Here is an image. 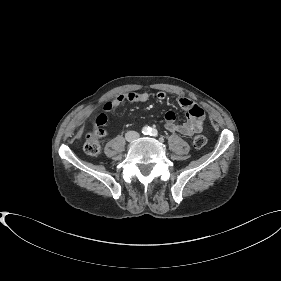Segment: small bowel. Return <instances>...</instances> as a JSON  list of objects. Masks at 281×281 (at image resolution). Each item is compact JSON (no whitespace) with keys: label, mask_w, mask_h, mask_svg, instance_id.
I'll return each mask as SVG.
<instances>
[{"label":"small bowel","mask_w":281,"mask_h":281,"mask_svg":"<svg viewBox=\"0 0 281 281\" xmlns=\"http://www.w3.org/2000/svg\"><path fill=\"white\" fill-rule=\"evenodd\" d=\"M156 97L158 100L162 101L166 99L167 94L163 91H159L156 94ZM149 98L150 95L147 92H129L121 94L115 99L106 102L103 109L106 112H111L125 101L144 103L147 102ZM177 104L184 110L187 120L183 123H177L175 113L172 111H166L163 115L166 130L173 133H180L184 136H192L201 132L203 130L205 120V112L203 108L184 97H178Z\"/></svg>","instance_id":"1"}]
</instances>
